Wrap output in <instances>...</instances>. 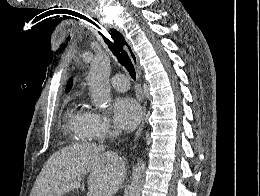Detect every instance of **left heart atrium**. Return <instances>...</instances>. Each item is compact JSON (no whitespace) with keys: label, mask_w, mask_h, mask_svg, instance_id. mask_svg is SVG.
I'll return each instance as SVG.
<instances>
[{"label":"left heart atrium","mask_w":260,"mask_h":196,"mask_svg":"<svg viewBox=\"0 0 260 196\" xmlns=\"http://www.w3.org/2000/svg\"><path fill=\"white\" fill-rule=\"evenodd\" d=\"M113 117L116 124L124 130H132L142 117L139 104L131 97H118L113 103Z\"/></svg>","instance_id":"39dd6f15"}]
</instances>
